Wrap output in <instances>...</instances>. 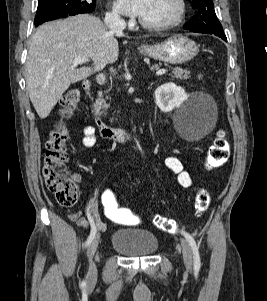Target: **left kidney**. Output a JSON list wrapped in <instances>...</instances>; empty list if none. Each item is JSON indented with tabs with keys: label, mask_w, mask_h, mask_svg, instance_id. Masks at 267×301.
<instances>
[{
	"label": "left kidney",
	"mask_w": 267,
	"mask_h": 301,
	"mask_svg": "<svg viewBox=\"0 0 267 301\" xmlns=\"http://www.w3.org/2000/svg\"><path fill=\"white\" fill-rule=\"evenodd\" d=\"M186 97L184 89L174 83L163 84L155 90L156 104L163 112L172 111Z\"/></svg>",
	"instance_id": "left-kidney-1"
}]
</instances>
